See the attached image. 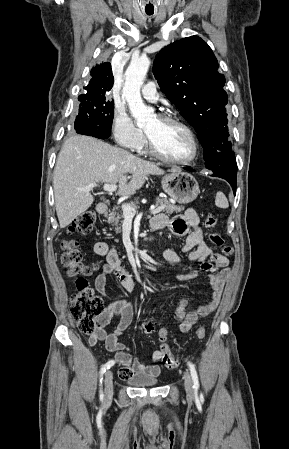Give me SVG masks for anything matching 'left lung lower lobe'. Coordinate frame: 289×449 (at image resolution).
<instances>
[{
    "mask_svg": "<svg viewBox=\"0 0 289 449\" xmlns=\"http://www.w3.org/2000/svg\"><path fill=\"white\" fill-rule=\"evenodd\" d=\"M184 169H186L188 171H194L193 169L188 168V167H184ZM212 176H214V175H212ZM216 177H218V176H216ZM221 178L225 179L226 181H228L230 183V185L232 186L233 192L235 193L237 176L221 177Z\"/></svg>",
    "mask_w": 289,
    "mask_h": 449,
    "instance_id": "1",
    "label": "left lung lower lobe"
}]
</instances>
